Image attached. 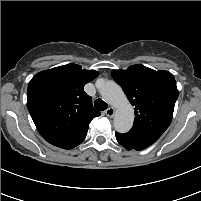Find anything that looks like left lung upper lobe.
Masks as SVG:
<instances>
[{"label":"left lung upper lobe","mask_w":201,"mask_h":201,"mask_svg":"<svg viewBox=\"0 0 201 201\" xmlns=\"http://www.w3.org/2000/svg\"><path fill=\"white\" fill-rule=\"evenodd\" d=\"M111 75L135 107L134 125L129 132L161 136L172 121L178 98L174 76L140 64L113 70Z\"/></svg>","instance_id":"1"}]
</instances>
